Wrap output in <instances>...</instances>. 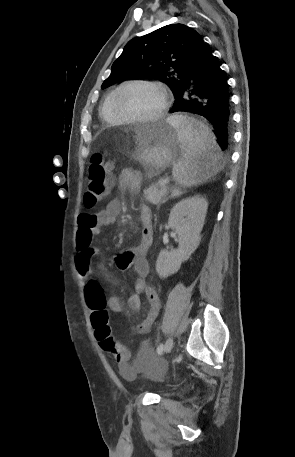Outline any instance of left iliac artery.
<instances>
[{
    "label": "left iliac artery",
    "instance_id": "left-iliac-artery-1",
    "mask_svg": "<svg viewBox=\"0 0 295 457\" xmlns=\"http://www.w3.org/2000/svg\"><path fill=\"white\" fill-rule=\"evenodd\" d=\"M163 350H164V345H163V344H160V345L158 346V348H157V353L160 354V353L163 352Z\"/></svg>",
    "mask_w": 295,
    "mask_h": 457
}]
</instances>
